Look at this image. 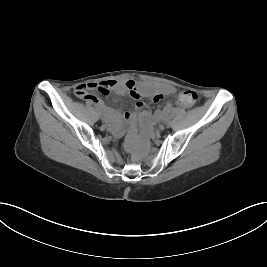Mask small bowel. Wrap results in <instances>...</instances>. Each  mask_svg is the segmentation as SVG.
<instances>
[{
    "instance_id": "obj_1",
    "label": "small bowel",
    "mask_w": 267,
    "mask_h": 267,
    "mask_svg": "<svg viewBox=\"0 0 267 267\" xmlns=\"http://www.w3.org/2000/svg\"><path fill=\"white\" fill-rule=\"evenodd\" d=\"M105 86L111 88L115 87L119 93H124L125 92V84L123 82H114V81H104L103 82ZM85 84L78 85L75 88V95L78 96V88L83 86ZM135 92H130V96L133 97L136 100L135 103V108L137 110H142L145 107L144 102L141 100L142 97L145 96H155V97H160L163 95H172L176 92L175 88L171 85H163V84H157V83H152V82H144V83H139L135 87ZM79 97V96H78ZM93 104H95L97 107L103 109L106 112H110V108L106 106L103 100L91 97L89 99H85ZM167 110H172L173 106L171 103H168L166 105ZM125 117L127 119H131L133 115L130 112L125 113ZM155 119L161 118V113L157 111L155 113Z\"/></svg>"
}]
</instances>
